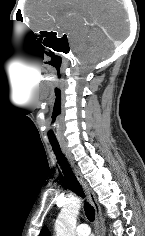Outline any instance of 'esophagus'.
Segmentation results:
<instances>
[{
    "mask_svg": "<svg viewBox=\"0 0 145 236\" xmlns=\"http://www.w3.org/2000/svg\"><path fill=\"white\" fill-rule=\"evenodd\" d=\"M61 146H62V149H63V151H64L72 169H73V172L75 173L77 180L79 181V183L83 187L84 191L86 192V194L88 196V199H89L91 205L93 206V208L95 210V215H96L95 233H96V236H104V221H103L102 214H101V208H100V205L96 199L95 193L92 191V189L88 186L87 182L84 180L80 170L75 165V162H74L73 158L71 157L70 153L68 152L66 146L64 144H62Z\"/></svg>",
    "mask_w": 145,
    "mask_h": 236,
    "instance_id": "obj_1",
    "label": "esophagus"
}]
</instances>
